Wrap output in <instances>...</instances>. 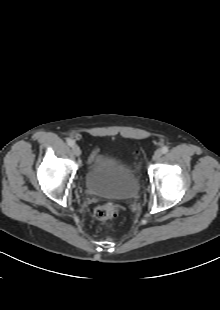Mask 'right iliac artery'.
<instances>
[{
    "mask_svg": "<svg viewBox=\"0 0 220 310\" xmlns=\"http://www.w3.org/2000/svg\"><path fill=\"white\" fill-rule=\"evenodd\" d=\"M67 144H68L70 147H72V146L75 144V142H74L72 139H67Z\"/></svg>",
    "mask_w": 220,
    "mask_h": 310,
    "instance_id": "1",
    "label": "right iliac artery"
}]
</instances>
